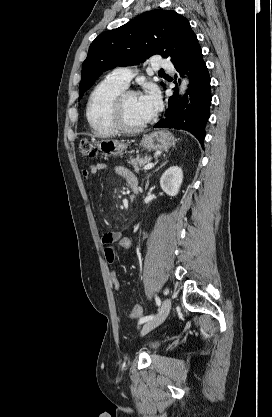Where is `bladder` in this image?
<instances>
[{
  "label": "bladder",
  "instance_id": "obj_1",
  "mask_svg": "<svg viewBox=\"0 0 272 417\" xmlns=\"http://www.w3.org/2000/svg\"><path fill=\"white\" fill-rule=\"evenodd\" d=\"M160 344L158 342L152 341L147 344V348L154 352L159 348Z\"/></svg>",
  "mask_w": 272,
  "mask_h": 417
}]
</instances>
